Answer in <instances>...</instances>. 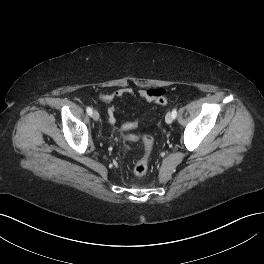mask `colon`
<instances>
[{"mask_svg":"<svg viewBox=\"0 0 264 264\" xmlns=\"http://www.w3.org/2000/svg\"><path fill=\"white\" fill-rule=\"evenodd\" d=\"M155 103L157 105L160 106H164L167 103L166 98L163 97H159L155 100ZM138 122H128L125 123L122 126V131L123 134L125 136L126 139L131 140V141H137L139 139H141V141L143 142V146H144V153L142 155V157L135 163L134 167H133V173L135 176L137 177H141L143 175L146 174L148 167H149V161H150V156H151V152L153 149V138L151 136H136L134 134H129L128 132L132 129H135L138 126Z\"/></svg>","mask_w":264,"mask_h":264,"instance_id":"obj_1","label":"colon"}]
</instances>
